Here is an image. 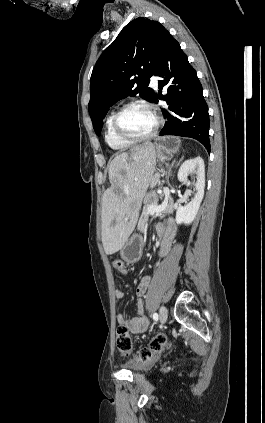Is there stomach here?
Instances as JSON below:
<instances>
[{
    "label": "stomach",
    "mask_w": 265,
    "mask_h": 423,
    "mask_svg": "<svg viewBox=\"0 0 265 423\" xmlns=\"http://www.w3.org/2000/svg\"><path fill=\"white\" fill-rule=\"evenodd\" d=\"M157 157L161 161H169L177 150L176 141L171 137L158 138L155 143ZM143 254V240L139 234H133L120 251L123 260L128 263L138 262Z\"/></svg>",
    "instance_id": "stomach-1"
}]
</instances>
